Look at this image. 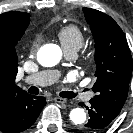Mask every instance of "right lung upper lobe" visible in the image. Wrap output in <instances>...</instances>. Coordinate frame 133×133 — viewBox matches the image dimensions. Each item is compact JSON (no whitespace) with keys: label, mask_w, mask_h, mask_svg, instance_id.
<instances>
[{"label":"right lung upper lobe","mask_w":133,"mask_h":133,"mask_svg":"<svg viewBox=\"0 0 133 133\" xmlns=\"http://www.w3.org/2000/svg\"><path fill=\"white\" fill-rule=\"evenodd\" d=\"M29 22V13L10 11L0 14V43L15 44L16 46ZM17 66V58L7 63H0V112L14 97L25 93L15 84Z\"/></svg>","instance_id":"1"}]
</instances>
